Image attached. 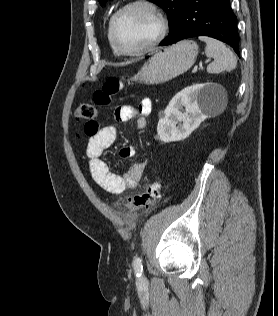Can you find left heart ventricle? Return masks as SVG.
<instances>
[{
    "instance_id": "left-heart-ventricle-1",
    "label": "left heart ventricle",
    "mask_w": 278,
    "mask_h": 316,
    "mask_svg": "<svg viewBox=\"0 0 278 316\" xmlns=\"http://www.w3.org/2000/svg\"><path fill=\"white\" fill-rule=\"evenodd\" d=\"M157 30L155 16L144 7H134L125 11L116 23L117 41L127 50H135L146 45L155 37Z\"/></svg>"
}]
</instances>
